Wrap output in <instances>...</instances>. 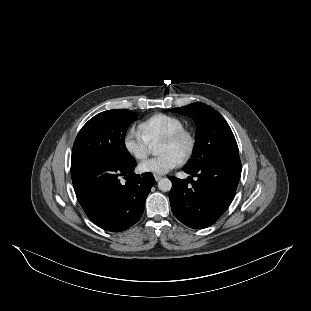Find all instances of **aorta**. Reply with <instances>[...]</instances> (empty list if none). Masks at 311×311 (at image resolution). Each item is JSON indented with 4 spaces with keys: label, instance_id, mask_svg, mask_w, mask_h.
Listing matches in <instances>:
<instances>
[{
    "label": "aorta",
    "instance_id": "1",
    "mask_svg": "<svg viewBox=\"0 0 311 311\" xmlns=\"http://www.w3.org/2000/svg\"><path fill=\"white\" fill-rule=\"evenodd\" d=\"M152 155L157 156L158 154V149L157 148H153L151 150ZM158 188L161 191L167 192L170 191L172 188V182L168 179V178H162L161 180H159L158 182Z\"/></svg>",
    "mask_w": 311,
    "mask_h": 311
}]
</instances>
